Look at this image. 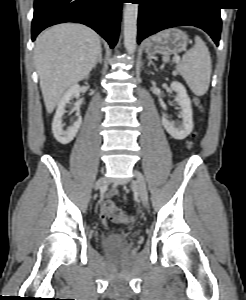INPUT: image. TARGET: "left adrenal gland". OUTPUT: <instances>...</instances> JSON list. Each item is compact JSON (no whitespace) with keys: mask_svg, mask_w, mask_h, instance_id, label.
<instances>
[{"mask_svg":"<svg viewBox=\"0 0 246 300\" xmlns=\"http://www.w3.org/2000/svg\"><path fill=\"white\" fill-rule=\"evenodd\" d=\"M148 59V66L152 65L155 69H156V65L154 64V62L152 61V58L150 56H147Z\"/></svg>","mask_w":246,"mask_h":300,"instance_id":"obj_1","label":"left adrenal gland"}]
</instances>
